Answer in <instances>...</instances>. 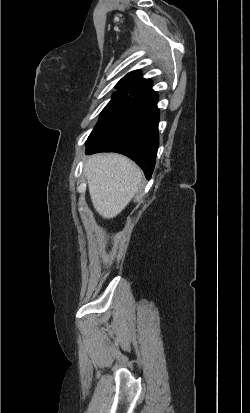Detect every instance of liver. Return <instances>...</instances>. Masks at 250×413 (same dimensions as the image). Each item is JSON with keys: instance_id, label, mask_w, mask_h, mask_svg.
I'll list each match as a JSON object with an SVG mask.
<instances>
[{"instance_id": "liver-1", "label": "liver", "mask_w": 250, "mask_h": 413, "mask_svg": "<svg viewBox=\"0 0 250 413\" xmlns=\"http://www.w3.org/2000/svg\"><path fill=\"white\" fill-rule=\"evenodd\" d=\"M84 172L95 210L108 219L117 216L129 204L143 177L133 161L115 153L88 157Z\"/></svg>"}]
</instances>
